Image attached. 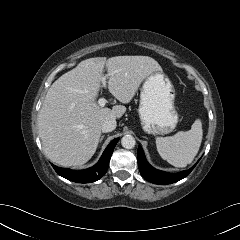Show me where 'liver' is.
I'll return each mask as SVG.
<instances>
[{
  "label": "liver",
  "mask_w": 240,
  "mask_h": 240,
  "mask_svg": "<svg viewBox=\"0 0 240 240\" xmlns=\"http://www.w3.org/2000/svg\"><path fill=\"white\" fill-rule=\"evenodd\" d=\"M105 67L108 89L123 104L132 100L147 76L162 71L148 56L95 57L59 77L38 115L39 136L50 161L64 167L85 164L97 149L102 123L125 113V106L110 109L96 102Z\"/></svg>",
  "instance_id": "6515ba94"
}]
</instances>
